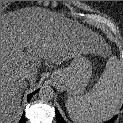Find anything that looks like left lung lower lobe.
I'll list each match as a JSON object with an SVG mask.
<instances>
[{
    "label": "left lung lower lobe",
    "mask_w": 123,
    "mask_h": 123,
    "mask_svg": "<svg viewBox=\"0 0 123 123\" xmlns=\"http://www.w3.org/2000/svg\"><path fill=\"white\" fill-rule=\"evenodd\" d=\"M123 107V106H122ZM56 110V117H57V123H66L64 119L59 114L58 110ZM117 116H114L111 120L107 121L106 123H113L116 120Z\"/></svg>",
    "instance_id": "obj_1"
}]
</instances>
